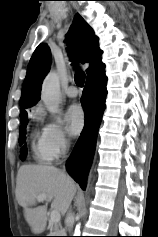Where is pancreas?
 Here are the masks:
<instances>
[{
    "label": "pancreas",
    "mask_w": 158,
    "mask_h": 237,
    "mask_svg": "<svg viewBox=\"0 0 158 237\" xmlns=\"http://www.w3.org/2000/svg\"><path fill=\"white\" fill-rule=\"evenodd\" d=\"M54 234H52V235H59V233H62V231H59V230H55L54 232H53Z\"/></svg>",
    "instance_id": "cf45deb5"
}]
</instances>
